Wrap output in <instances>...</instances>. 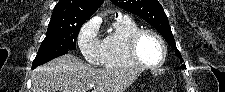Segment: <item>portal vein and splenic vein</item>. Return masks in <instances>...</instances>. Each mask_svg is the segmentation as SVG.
Instances as JSON below:
<instances>
[{"mask_svg":"<svg viewBox=\"0 0 225 92\" xmlns=\"http://www.w3.org/2000/svg\"><path fill=\"white\" fill-rule=\"evenodd\" d=\"M88 88H89V89L94 88V84H90V85L88 86Z\"/></svg>","mask_w":225,"mask_h":92,"instance_id":"portal-vein-and-splenic-vein-1","label":"portal vein and splenic vein"}]
</instances>
